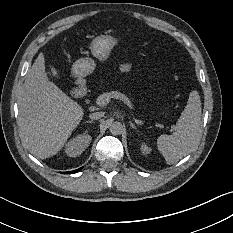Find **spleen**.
I'll list each match as a JSON object with an SVG mask.
<instances>
[{"instance_id":"3e777b00","label":"spleen","mask_w":233,"mask_h":233,"mask_svg":"<svg viewBox=\"0 0 233 233\" xmlns=\"http://www.w3.org/2000/svg\"><path fill=\"white\" fill-rule=\"evenodd\" d=\"M201 100L199 92L190 91L188 101L183 109L171 135L162 134L158 138V148L168 163L177 162L188 154L201 138Z\"/></svg>"}]
</instances>
